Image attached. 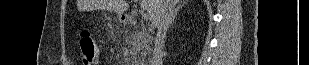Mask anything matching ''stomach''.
Returning <instances> with one entry per match:
<instances>
[{"label":"stomach","mask_w":309,"mask_h":65,"mask_svg":"<svg viewBox=\"0 0 309 65\" xmlns=\"http://www.w3.org/2000/svg\"><path fill=\"white\" fill-rule=\"evenodd\" d=\"M119 20L122 21L121 16L119 17Z\"/></svg>","instance_id":"obj_1"}]
</instances>
